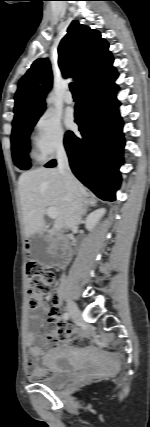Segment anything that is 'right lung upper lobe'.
Here are the masks:
<instances>
[{
    "label": "right lung upper lobe",
    "instance_id": "obj_1",
    "mask_svg": "<svg viewBox=\"0 0 150 427\" xmlns=\"http://www.w3.org/2000/svg\"><path fill=\"white\" fill-rule=\"evenodd\" d=\"M108 47L97 30L74 20L58 48V64L63 76L73 77L80 91L112 67L113 57ZM51 86L49 61L37 59L18 83L13 123L43 112L44 99Z\"/></svg>",
    "mask_w": 150,
    "mask_h": 427
}]
</instances>
